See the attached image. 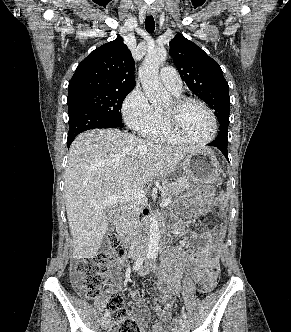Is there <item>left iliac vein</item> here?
<instances>
[{
  "mask_svg": "<svg viewBox=\"0 0 291 332\" xmlns=\"http://www.w3.org/2000/svg\"><path fill=\"white\" fill-rule=\"evenodd\" d=\"M179 325H180L181 332H189L190 326H189V322L186 319H181Z\"/></svg>",
  "mask_w": 291,
  "mask_h": 332,
  "instance_id": "left-iliac-vein-1",
  "label": "left iliac vein"
}]
</instances>
